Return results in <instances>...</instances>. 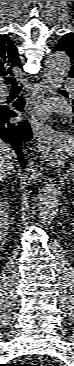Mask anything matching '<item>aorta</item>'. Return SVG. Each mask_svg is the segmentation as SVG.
<instances>
[{
    "label": "aorta",
    "mask_w": 74,
    "mask_h": 366,
    "mask_svg": "<svg viewBox=\"0 0 74 366\" xmlns=\"http://www.w3.org/2000/svg\"><path fill=\"white\" fill-rule=\"evenodd\" d=\"M71 67L70 56L64 51L52 52L46 62L44 69V82L47 91L55 94L61 87L64 78L67 76ZM58 189L54 182H45L38 194V219L46 226L50 225L56 217L58 211Z\"/></svg>",
    "instance_id": "aorta-1"
}]
</instances>
